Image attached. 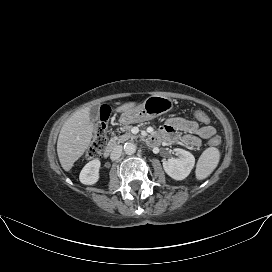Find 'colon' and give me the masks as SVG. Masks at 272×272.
<instances>
[{
	"label": "colon",
	"mask_w": 272,
	"mask_h": 272,
	"mask_svg": "<svg viewBox=\"0 0 272 272\" xmlns=\"http://www.w3.org/2000/svg\"><path fill=\"white\" fill-rule=\"evenodd\" d=\"M109 114H110V111L108 107L103 106L100 109L99 120L94 130L93 139L86 151V158L88 160L98 158L101 155L106 145V142H107V125L106 124L109 118ZM193 117L197 121L203 124L209 123V120H210L208 115L202 111L194 112ZM220 141H221L220 137L215 136L210 140V144L213 146H217L220 144Z\"/></svg>",
	"instance_id": "1"
}]
</instances>
